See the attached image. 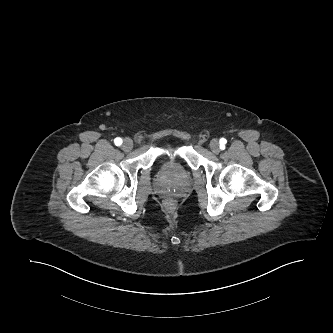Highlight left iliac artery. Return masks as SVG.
<instances>
[{"mask_svg": "<svg viewBox=\"0 0 333 333\" xmlns=\"http://www.w3.org/2000/svg\"><path fill=\"white\" fill-rule=\"evenodd\" d=\"M227 140L225 138H221L220 139V148L224 149L225 148V144H226Z\"/></svg>", "mask_w": 333, "mask_h": 333, "instance_id": "obj_1", "label": "left iliac artery"}]
</instances>
